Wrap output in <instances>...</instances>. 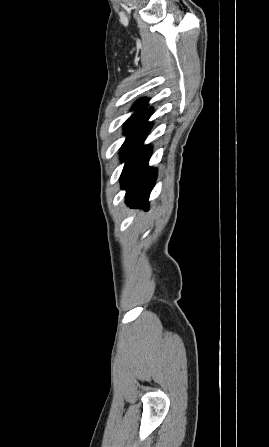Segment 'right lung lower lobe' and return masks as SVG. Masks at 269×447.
Instances as JSON below:
<instances>
[{"instance_id":"obj_1","label":"right lung lower lobe","mask_w":269,"mask_h":447,"mask_svg":"<svg viewBox=\"0 0 269 447\" xmlns=\"http://www.w3.org/2000/svg\"><path fill=\"white\" fill-rule=\"evenodd\" d=\"M151 112L152 109H143L130 117L124 127L128 137L120 150V159L126 161L120 177L126 203L144 209L157 176V170L148 166L152 147L142 145L151 128L147 123Z\"/></svg>"}]
</instances>
